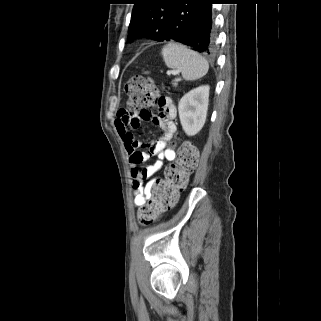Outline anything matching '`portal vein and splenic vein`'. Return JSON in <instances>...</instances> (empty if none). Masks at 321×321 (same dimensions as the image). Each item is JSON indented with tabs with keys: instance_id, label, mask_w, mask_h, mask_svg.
<instances>
[{
	"instance_id": "18ae733b",
	"label": "portal vein and splenic vein",
	"mask_w": 321,
	"mask_h": 321,
	"mask_svg": "<svg viewBox=\"0 0 321 321\" xmlns=\"http://www.w3.org/2000/svg\"><path fill=\"white\" fill-rule=\"evenodd\" d=\"M171 74H179V71L168 70L167 75H171Z\"/></svg>"
}]
</instances>
